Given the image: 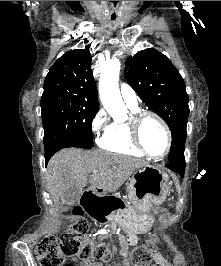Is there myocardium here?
<instances>
[{
  "mask_svg": "<svg viewBox=\"0 0 221 266\" xmlns=\"http://www.w3.org/2000/svg\"><path fill=\"white\" fill-rule=\"evenodd\" d=\"M148 117L154 118L161 125L166 135V148H165V151L159 156H155L149 153L141 141V136H140L141 126H142L143 121ZM128 126H129L130 136H131V140L133 144L145 156L153 160H162L169 154L171 145H172L171 132H170V129L167 123L158 114L152 111H137L130 116L128 120Z\"/></svg>",
  "mask_w": 221,
  "mask_h": 266,
  "instance_id": "1",
  "label": "myocardium"
}]
</instances>
